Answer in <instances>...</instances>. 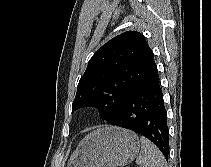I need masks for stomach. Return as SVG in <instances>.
<instances>
[{
  "instance_id": "0dacf381",
  "label": "stomach",
  "mask_w": 211,
  "mask_h": 167,
  "mask_svg": "<svg viewBox=\"0 0 211 167\" xmlns=\"http://www.w3.org/2000/svg\"><path fill=\"white\" fill-rule=\"evenodd\" d=\"M140 141L132 131L118 127L97 129L83 138L67 167H119L131 163Z\"/></svg>"
}]
</instances>
